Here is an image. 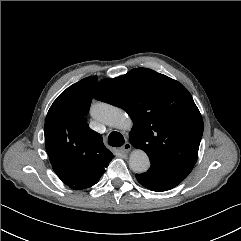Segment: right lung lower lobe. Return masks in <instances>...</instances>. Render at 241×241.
I'll return each instance as SVG.
<instances>
[{"instance_id": "obj_1", "label": "right lung lower lobe", "mask_w": 241, "mask_h": 241, "mask_svg": "<svg viewBox=\"0 0 241 241\" xmlns=\"http://www.w3.org/2000/svg\"><path fill=\"white\" fill-rule=\"evenodd\" d=\"M53 170L60 180L74 190L89 188L96 184L104 171H94L73 166H53Z\"/></svg>"}]
</instances>
